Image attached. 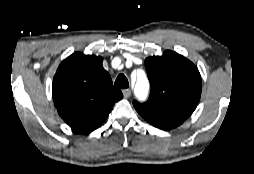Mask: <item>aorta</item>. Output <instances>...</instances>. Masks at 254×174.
Segmentation results:
<instances>
[{
	"label": "aorta",
	"mask_w": 254,
	"mask_h": 174,
	"mask_svg": "<svg viewBox=\"0 0 254 174\" xmlns=\"http://www.w3.org/2000/svg\"><path fill=\"white\" fill-rule=\"evenodd\" d=\"M148 91H149V82L145 74H143L137 79L135 94L139 100L143 101L147 98Z\"/></svg>",
	"instance_id": "aorta-1"
}]
</instances>
